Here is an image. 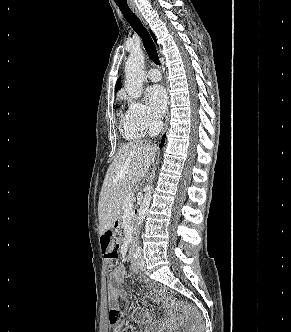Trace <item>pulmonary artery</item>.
Returning <instances> with one entry per match:
<instances>
[{"mask_svg": "<svg viewBox=\"0 0 291 332\" xmlns=\"http://www.w3.org/2000/svg\"><path fill=\"white\" fill-rule=\"evenodd\" d=\"M147 77L149 80L157 82L161 79V74L157 69L152 68L147 72Z\"/></svg>", "mask_w": 291, "mask_h": 332, "instance_id": "pulmonary-artery-1", "label": "pulmonary artery"}]
</instances>
